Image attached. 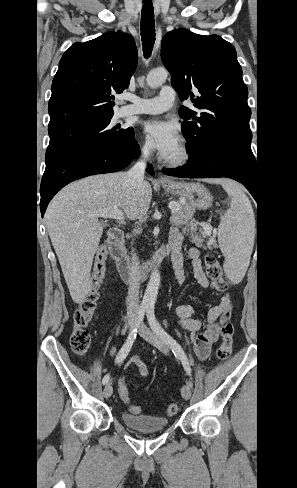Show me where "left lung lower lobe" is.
Returning <instances> with one entry per match:
<instances>
[{
	"label": "left lung lower lobe",
	"instance_id": "left-lung-lower-lobe-1",
	"mask_svg": "<svg viewBox=\"0 0 297 488\" xmlns=\"http://www.w3.org/2000/svg\"><path fill=\"white\" fill-rule=\"evenodd\" d=\"M164 174L186 178L227 177L242 183L258 202L256 160L236 153L214 150L189 160L177 169L163 170Z\"/></svg>",
	"mask_w": 297,
	"mask_h": 488
}]
</instances>
